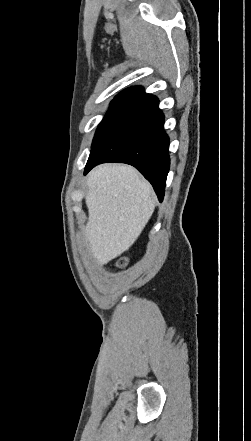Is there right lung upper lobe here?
I'll list each match as a JSON object with an SVG mask.
<instances>
[{"label":"right lung upper lobe","mask_w":251,"mask_h":441,"mask_svg":"<svg viewBox=\"0 0 251 441\" xmlns=\"http://www.w3.org/2000/svg\"><path fill=\"white\" fill-rule=\"evenodd\" d=\"M145 94L143 87H130L120 92L113 101H123L133 103L143 97Z\"/></svg>","instance_id":"1"}]
</instances>
